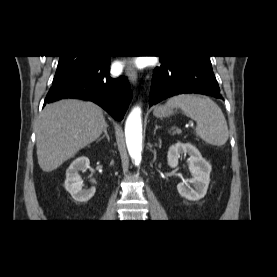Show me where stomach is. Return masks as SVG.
<instances>
[{"instance_id": "stomach-1", "label": "stomach", "mask_w": 277, "mask_h": 277, "mask_svg": "<svg viewBox=\"0 0 277 277\" xmlns=\"http://www.w3.org/2000/svg\"><path fill=\"white\" fill-rule=\"evenodd\" d=\"M174 113L172 106H159L154 109V115L157 117L169 116Z\"/></svg>"}]
</instances>
